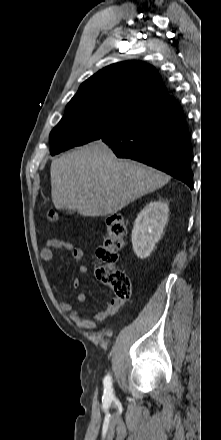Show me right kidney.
Returning <instances> with one entry per match:
<instances>
[{"label": "right kidney", "mask_w": 221, "mask_h": 440, "mask_svg": "<svg viewBox=\"0 0 221 440\" xmlns=\"http://www.w3.org/2000/svg\"><path fill=\"white\" fill-rule=\"evenodd\" d=\"M169 208L164 202L147 204L138 214L132 230L133 250L138 258H147L159 241L168 221Z\"/></svg>", "instance_id": "obj_1"}]
</instances>
